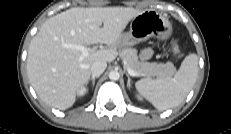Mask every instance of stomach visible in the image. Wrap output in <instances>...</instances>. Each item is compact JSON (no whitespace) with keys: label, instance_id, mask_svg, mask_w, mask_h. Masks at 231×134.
<instances>
[{"label":"stomach","instance_id":"1","mask_svg":"<svg viewBox=\"0 0 231 134\" xmlns=\"http://www.w3.org/2000/svg\"><path fill=\"white\" fill-rule=\"evenodd\" d=\"M171 34L172 25L164 15L155 10H145L132 19L129 31L121 35L119 48L131 47L150 37L165 40Z\"/></svg>","mask_w":231,"mask_h":134}]
</instances>
